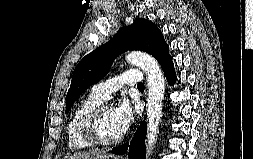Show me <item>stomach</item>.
<instances>
[{
	"instance_id": "obj_1",
	"label": "stomach",
	"mask_w": 253,
	"mask_h": 159,
	"mask_svg": "<svg viewBox=\"0 0 253 159\" xmlns=\"http://www.w3.org/2000/svg\"><path fill=\"white\" fill-rule=\"evenodd\" d=\"M102 159H118V158L117 157H113V158H102Z\"/></svg>"
}]
</instances>
